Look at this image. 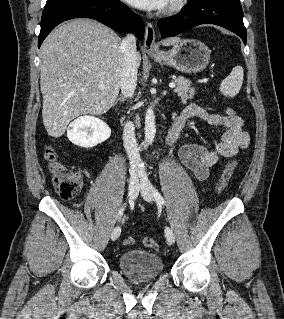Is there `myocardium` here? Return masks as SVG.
I'll return each mask as SVG.
<instances>
[{
  "mask_svg": "<svg viewBox=\"0 0 284 319\" xmlns=\"http://www.w3.org/2000/svg\"><path fill=\"white\" fill-rule=\"evenodd\" d=\"M187 4V0H169L164 13L172 14L181 11L185 5Z\"/></svg>",
  "mask_w": 284,
  "mask_h": 319,
  "instance_id": "obj_1",
  "label": "myocardium"
}]
</instances>
